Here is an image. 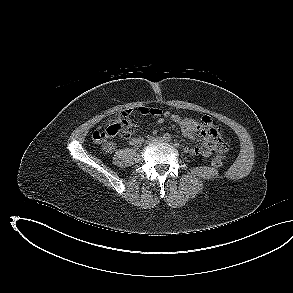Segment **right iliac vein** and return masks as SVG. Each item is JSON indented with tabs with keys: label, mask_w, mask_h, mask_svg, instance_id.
Masks as SVG:
<instances>
[{
	"label": "right iliac vein",
	"mask_w": 293,
	"mask_h": 293,
	"mask_svg": "<svg viewBox=\"0 0 293 293\" xmlns=\"http://www.w3.org/2000/svg\"><path fill=\"white\" fill-rule=\"evenodd\" d=\"M159 139L158 138H152L148 141V143H152V142H155V141H158Z\"/></svg>",
	"instance_id": "1"
}]
</instances>
